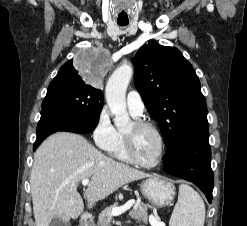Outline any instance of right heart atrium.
I'll return each mask as SVG.
<instances>
[{
    "label": "right heart atrium",
    "mask_w": 247,
    "mask_h": 226,
    "mask_svg": "<svg viewBox=\"0 0 247 226\" xmlns=\"http://www.w3.org/2000/svg\"><path fill=\"white\" fill-rule=\"evenodd\" d=\"M116 129L111 123L109 111L106 106L100 110L96 125L93 129V139L98 148L107 150L114 142Z\"/></svg>",
    "instance_id": "d8ad5b80"
}]
</instances>
